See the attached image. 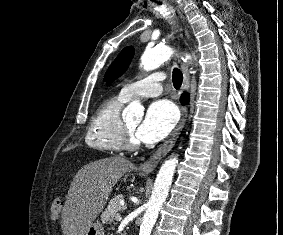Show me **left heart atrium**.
Listing matches in <instances>:
<instances>
[{
  "label": "left heart atrium",
  "instance_id": "1",
  "mask_svg": "<svg viewBox=\"0 0 283 235\" xmlns=\"http://www.w3.org/2000/svg\"><path fill=\"white\" fill-rule=\"evenodd\" d=\"M177 111L167 100L153 102L142 124L136 129L135 136L145 143H154L169 134L177 122Z\"/></svg>",
  "mask_w": 283,
  "mask_h": 235
}]
</instances>
